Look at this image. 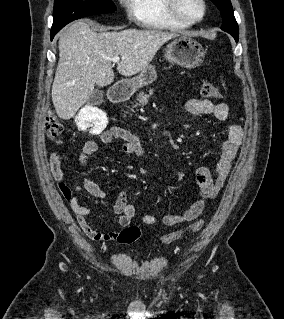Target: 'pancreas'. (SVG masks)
I'll list each match as a JSON object with an SVG mask.
<instances>
[{
    "label": "pancreas",
    "mask_w": 284,
    "mask_h": 319,
    "mask_svg": "<svg viewBox=\"0 0 284 319\" xmlns=\"http://www.w3.org/2000/svg\"><path fill=\"white\" fill-rule=\"evenodd\" d=\"M153 92H154L153 89H150V90H149V94H145L143 91L140 92V93L138 94V97H137V101H139L140 104L137 103V104H136V107H137L138 105L145 106V105L148 103V100H149L150 96L153 95Z\"/></svg>",
    "instance_id": "obj_1"
}]
</instances>
